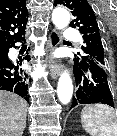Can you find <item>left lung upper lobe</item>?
Wrapping results in <instances>:
<instances>
[{"instance_id":"obj_1","label":"left lung upper lobe","mask_w":117,"mask_h":136,"mask_svg":"<svg viewBox=\"0 0 117 136\" xmlns=\"http://www.w3.org/2000/svg\"><path fill=\"white\" fill-rule=\"evenodd\" d=\"M62 4L72 10L75 19L70 23L72 27H79V31L83 34L84 46L82 50L85 56L82 58H90L95 60L97 64L104 68L105 55L102 45L99 27L92 7L87 0H55L54 5Z\"/></svg>"}]
</instances>
